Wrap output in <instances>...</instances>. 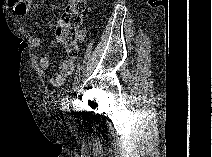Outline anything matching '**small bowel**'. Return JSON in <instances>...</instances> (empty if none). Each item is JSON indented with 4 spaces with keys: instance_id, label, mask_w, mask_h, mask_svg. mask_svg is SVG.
Instances as JSON below:
<instances>
[{
    "instance_id": "obj_1",
    "label": "small bowel",
    "mask_w": 212,
    "mask_h": 157,
    "mask_svg": "<svg viewBox=\"0 0 212 157\" xmlns=\"http://www.w3.org/2000/svg\"><path fill=\"white\" fill-rule=\"evenodd\" d=\"M9 7L14 11L18 16H24L29 9V2L25 0H9ZM67 24L63 18L59 19L56 25V39L58 36L65 31ZM42 40L38 37H35L31 41L33 48H38L41 46ZM50 60L47 56H42L38 60V66L41 71H46L49 68ZM74 69V60L73 59H64L59 65V73L50 78V84L53 87L59 88L62 87L67 79V77L73 72Z\"/></svg>"
}]
</instances>
